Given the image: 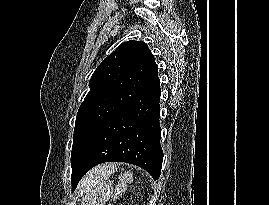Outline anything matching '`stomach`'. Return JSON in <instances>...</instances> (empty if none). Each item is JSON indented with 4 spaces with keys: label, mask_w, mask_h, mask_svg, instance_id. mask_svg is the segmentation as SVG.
I'll use <instances>...</instances> for the list:
<instances>
[{
    "label": "stomach",
    "mask_w": 269,
    "mask_h": 205,
    "mask_svg": "<svg viewBox=\"0 0 269 205\" xmlns=\"http://www.w3.org/2000/svg\"><path fill=\"white\" fill-rule=\"evenodd\" d=\"M113 183L110 180L102 179L95 186L84 192L81 205H105L113 195Z\"/></svg>",
    "instance_id": "obj_1"
}]
</instances>
